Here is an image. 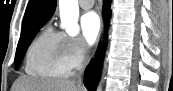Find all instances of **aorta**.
I'll return each mask as SVG.
<instances>
[{
	"label": "aorta",
	"instance_id": "aorta-1",
	"mask_svg": "<svg viewBox=\"0 0 173 91\" xmlns=\"http://www.w3.org/2000/svg\"><path fill=\"white\" fill-rule=\"evenodd\" d=\"M59 10H60L61 26L65 28L67 34H69L70 36L77 35L79 32L78 0H59Z\"/></svg>",
	"mask_w": 173,
	"mask_h": 91
}]
</instances>
